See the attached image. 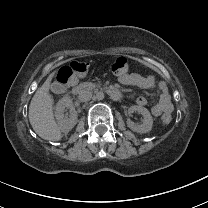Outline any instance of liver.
Instances as JSON below:
<instances>
[{
  "mask_svg": "<svg viewBox=\"0 0 208 208\" xmlns=\"http://www.w3.org/2000/svg\"><path fill=\"white\" fill-rule=\"evenodd\" d=\"M54 74L55 72L51 73L34 94L29 106V121L42 139L59 141L62 134L54 120L53 98L49 94L50 82Z\"/></svg>",
  "mask_w": 208,
  "mask_h": 208,
  "instance_id": "6515ba94",
  "label": "liver"
}]
</instances>
